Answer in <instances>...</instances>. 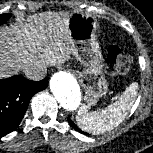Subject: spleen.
Instances as JSON below:
<instances>
[{
	"instance_id": "1",
	"label": "spleen",
	"mask_w": 153,
	"mask_h": 153,
	"mask_svg": "<svg viewBox=\"0 0 153 153\" xmlns=\"http://www.w3.org/2000/svg\"><path fill=\"white\" fill-rule=\"evenodd\" d=\"M138 84L132 83L121 94L118 101L108 105L103 110L88 112L82 106L76 116L81 129L93 134H101L117 127L127 117L137 96Z\"/></svg>"
}]
</instances>
